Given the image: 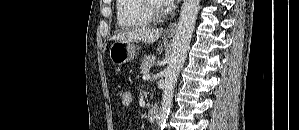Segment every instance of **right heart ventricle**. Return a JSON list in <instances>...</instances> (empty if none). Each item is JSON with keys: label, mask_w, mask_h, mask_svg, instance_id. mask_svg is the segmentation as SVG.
<instances>
[{"label": "right heart ventricle", "mask_w": 299, "mask_h": 130, "mask_svg": "<svg viewBox=\"0 0 299 130\" xmlns=\"http://www.w3.org/2000/svg\"><path fill=\"white\" fill-rule=\"evenodd\" d=\"M146 0H117L116 18L122 28L147 27L154 22L145 8Z\"/></svg>", "instance_id": "right-heart-ventricle-1"}]
</instances>
